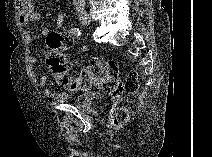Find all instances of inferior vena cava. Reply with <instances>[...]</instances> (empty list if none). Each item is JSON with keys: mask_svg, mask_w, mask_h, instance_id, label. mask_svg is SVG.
Here are the masks:
<instances>
[{"mask_svg": "<svg viewBox=\"0 0 212 157\" xmlns=\"http://www.w3.org/2000/svg\"><path fill=\"white\" fill-rule=\"evenodd\" d=\"M74 4L76 5L77 10H84L85 0H74Z\"/></svg>", "mask_w": 212, "mask_h": 157, "instance_id": "1", "label": "inferior vena cava"}]
</instances>
